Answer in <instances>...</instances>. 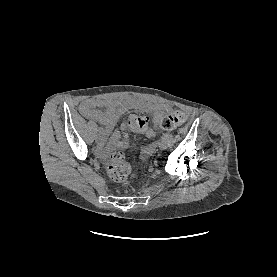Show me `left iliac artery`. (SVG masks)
I'll use <instances>...</instances> for the list:
<instances>
[{
    "instance_id": "left-iliac-artery-1",
    "label": "left iliac artery",
    "mask_w": 277,
    "mask_h": 277,
    "mask_svg": "<svg viewBox=\"0 0 277 277\" xmlns=\"http://www.w3.org/2000/svg\"><path fill=\"white\" fill-rule=\"evenodd\" d=\"M171 141V138L169 136H164L163 139H162V142H170Z\"/></svg>"
}]
</instances>
